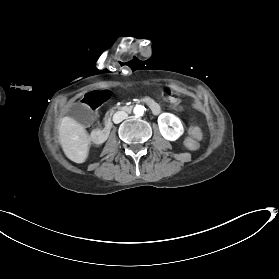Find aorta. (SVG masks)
<instances>
[{
  "mask_svg": "<svg viewBox=\"0 0 279 279\" xmlns=\"http://www.w3.org/2000/svg\"><path fill=\"white\" fill-rule=\"evenodd\" d=\"M145 107H143L142 105H136L134 108V114H136L137 116H142L144 113Z\"/></svg>",
  "mask_w": 279,
  "mask_h": 279,
  "instance_id": "762f6f07",
  "label": "aorta"
}]
</instances>
